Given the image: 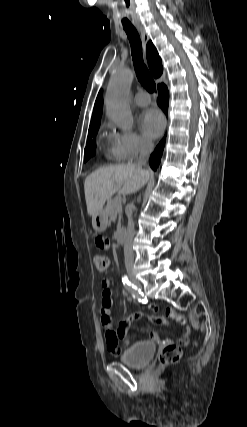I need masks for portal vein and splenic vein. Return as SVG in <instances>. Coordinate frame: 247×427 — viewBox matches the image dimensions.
I'll list each match as a JSON object with an SVG mask.
<instances>
[{"instance_id": "18ae733b", "label": "portal vein and splenic vein", "mask_w": 247, "mask_h": 427, "mask_svg": "<svg viewBox=\"0 0 247 427\" xmlns=\"http://www.w3.org/2000/svg\"><path fill=\"white\" fill-rule=\"evenodd\" d=\"M116 200H117L118 202H121V196L116 197Z\"/></svg>"}]
</instances>
